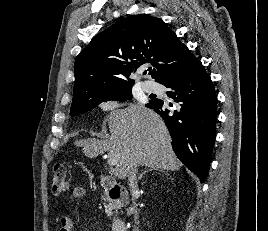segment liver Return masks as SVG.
<instances>
[{
	"instance_id": "obj_1",
	"label": "liver",
	"mask_w": 268,
	"mask_h": 231,
	"mask_svg": "<svg viewBox=\"0 0 268 231\" xmlns=\"http://www.w3.org/2000/svg\"><path fill=\"white\" fill-rule=\"evenodd\" d=\"M110 135L104 140H79L77 146L89 157L105 152L119 157L114 168L118 179L129 175L131 166L177 171L182 166L171 147V136L158 114L141 104L112 111L107 116Z\"/></svg>"
}]
</instances>
